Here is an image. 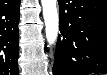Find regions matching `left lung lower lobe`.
Returning <instances> with one entry per match:
<instances>
[{
  "label": "left lung lower lobe",
  "mask_w": 107,
  "mask_h": 75,
  "mask_svg": "<svg viewBox=\"0 0 107 75\" xmlns=\"http://www.w3.org/2000/svg\"><path fill=\"white\" fill-rule=\"evenodd\" d=\"M60 31L53 75L107 73L106 0H59ZM78 17L83 35L67 38L69 22Z\"/></svg>",
  "instance_id": "obj_1"
}]
</instances>
